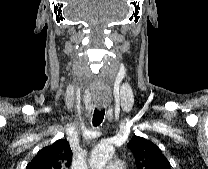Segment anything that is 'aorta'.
<instances>
[{
    "label": "aorta",
    "instance_id": "aorta-1",
    "mask_svg": "<svg viewBox=\"0 0 208 169\" xmlns=\"http://www.w3.org/2000/svg\"><path fill=\"white\" fill-rule=\"evenodd\" d=\"M114 153L115 150L111 144L105 142L98 144L91 155L92 169H103L109 160L113 158Z\"/></svg>",
    "mask_w": 208,
    "mask_h": 169
}]
</instances>
